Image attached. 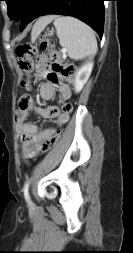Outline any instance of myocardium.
<instances>
[{"mask_svg":"<svg viewBox=\"0 0 133 253\" xmlns=\"http://www.w3.org/2000/svg\"><path fill=\"white\" fill-rule=\"evenodd\" d=\"M26 7H27V4H26V3H22L21 6H20V8H22V9H24V8H26Z\"/></svg>","mask_w":133,"mask_h":253,"instance_id":"myocardium-1","label":"myocardium"}]
</instances>
